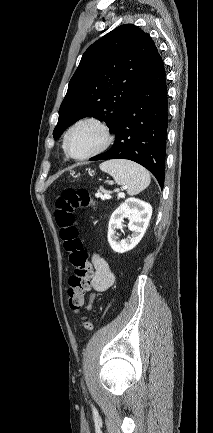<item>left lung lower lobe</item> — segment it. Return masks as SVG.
Returning <instances> with one entry per match:
<instances>
[{
  "label": "left lung lower lobe",
  "instance_id": "1",
  "mask_svg": "<svg viewBox=\"0 0 213 433\" xmlns=\"http://www.w3.org/2000/svg\"><path fill=\"white\" fill-rule=\"evenodd\" d=\"M167 87L160 55L133 93L113 130L115 142L91 161L128 159L147 168L164 186L167 136Z\"/></svg>",
  "mask_w": 213,
  "mask_h": 433
}]
</instances>
